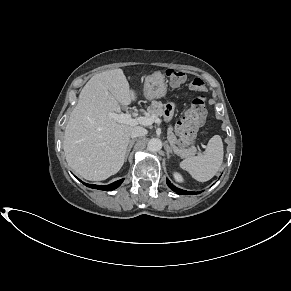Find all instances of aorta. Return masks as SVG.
I'll return each instance as SVG.
<instances>
[{
    "label": "aorta",
    "mask_w": 291,
    "mask_h": 291,
    "mask_svg": "<svg viewBox=\"0 0 291 291\" xmlns=\"http://www.w3.org/2000/svg\"><path fill=\"white\" fill-rule=\"evenodd\" d=\"M147 148L151 152L159 151L162 148V141L158 138H152L148 142Z\"/></svg>",
    "instance_id": "762f6f07"
}]
</instances>
